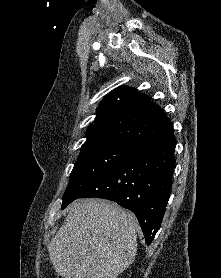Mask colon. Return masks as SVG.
<instances>
[{
	"label": "colon",
	"instance_id": "obj_1",
	"mask_svg": "<svg viewBox=\"0 0 221 278\" xmlns=\"http://www.w3.org/2000/svg\"><path fill=\"white\" fill-rule=\"evenodd\" d=\"M57 278H63V277L59 276V277H57Z\"/></svg>",
	"mask_w": 221,
	"mask_h": 278
}]
</instances>
